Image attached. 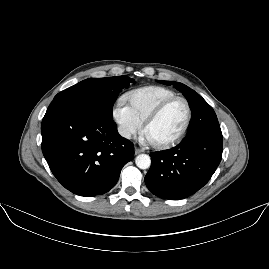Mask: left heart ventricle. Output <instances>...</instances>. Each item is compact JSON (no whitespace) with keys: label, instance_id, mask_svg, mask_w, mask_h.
<instances>
[{"label":"left heart ventricle","instance_id":"obj_1","mask_svg":"<svg viewBox=\"0 0 269 269\" xmlns=\"http://www.w3.org/2000/svg\"><path fill=\"white\" fill-rule=\"evenodd\" d=\"M186 121V106L183 102H176L148 128L146 136L153 143H164L182 130Z\"/></svg>","mask_w":269,"mask_h":269}]
</instances>
